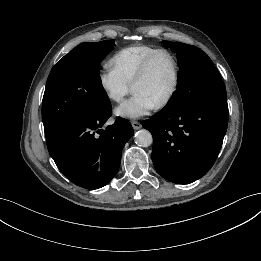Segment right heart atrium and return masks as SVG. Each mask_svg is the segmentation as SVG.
I'll return each instance as SVG.
<instances>
[{
	"label": "right heart atrium",
	"instance_id": "d8ad5b80",
	"mask_svg": "<svg viewBox=\"0 0 261 261\" xmlns=\"http://www.w3.org/2000/svg\"><path fill=\"white\" fill-rule=\"evenodd\" d=\"M98 84L103 93L117 103L121 102L130 91V84L109 67L99 71Z\"/></svg>",
	"mask_w": 261,
	"mask_h": 261
}]
</instances>
